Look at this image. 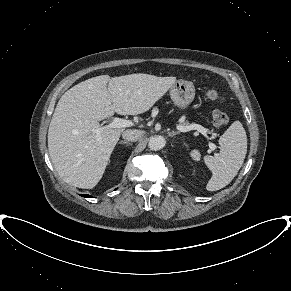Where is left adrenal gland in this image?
<instances>
[{"label":"left adrenal gland","instance_id":"a2214340","mask_svg":"<svg viewBox=\"0 0 291 291\" xmlns=\"http://www.w3.org/2000/svg\"><path fill=\"white\" fill-rule=\"evenodd\" d=\"M180 134V132L170 131L168 132L169 137H174L175 135Z\"/></svg>","mask_w":291,"mask_h":291}]
</instances>
